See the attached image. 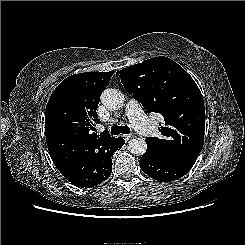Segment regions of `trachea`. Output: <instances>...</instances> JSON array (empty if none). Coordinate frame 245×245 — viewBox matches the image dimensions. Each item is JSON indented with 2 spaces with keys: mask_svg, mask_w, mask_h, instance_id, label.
<instances>
[{
  "mask_svg": "<svg viewBox=\"0 0 245 245\" xmlns=\"http://www.w3.org/2000/svg\"><path fill=\"white\" fill-rule=\"evenodd\" d=\"M129 134L130 128L128 126H118L114 125L111 127V134L112 135H118V134Z\"/></svg>",
  "mask_w": 245,
  "mask_h": 245,
  "instance_id": "trachea-1",
  "label": "trachea"
}]
</instances>
